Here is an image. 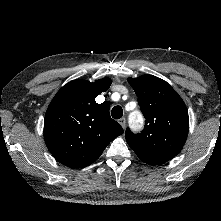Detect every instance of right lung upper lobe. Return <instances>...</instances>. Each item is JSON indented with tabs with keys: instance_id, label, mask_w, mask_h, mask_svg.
<instances>
[{
	"instance_id": "right-lung-upper-lobe-1",
	"label": "right lung upper lobe",
	"mask_w": 221,
	"mask_h": 221,
	"mask_svg": "<svg viewBox=\"0 0 221 221\" xmlns=\"http://www.w3.org/2000/svg\"><path fill=\"white\" fill-rule=\"evenodd\" d=\"M111 83L109 78L94 83L74 80L51 101L44 120V138L51 154L63 165L82 168L92 164L124 132L110 117V105L95 101Z\"/></svg>"
}]
</instances>
